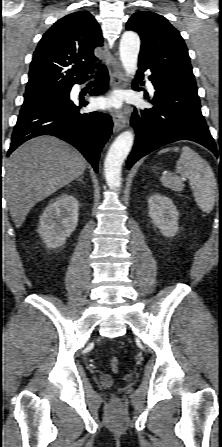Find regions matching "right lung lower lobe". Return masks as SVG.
Masks as SVG:
<instances>
[{
  "label": "right lung lower lobe",
  "mask_w": 222,
  "mask_h": 447,
  "mask_svg": "<svg viewBox=\"0 0 222 447\" xmlns=\"http://www.w3.org/2000/svg\"><path fill=\"white\" fill-rule=\"evenodd\" d=\"M97 77L90 95H101L107 89L108 72L105 66L100 67ZM86 105L84 100L79 104L72 102L68 94L59 102L20 113L7 155L33 137L52 135L76 147L97 172L100 150L112 133L113 123L111 117L102 112L80 113V108Z\"/></svg>",
  "instance_id": "obj_1"
}]
</instances>
